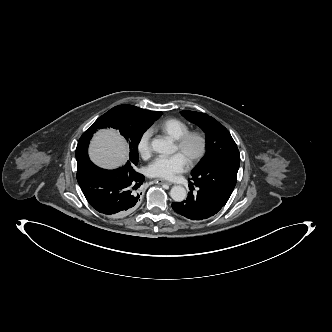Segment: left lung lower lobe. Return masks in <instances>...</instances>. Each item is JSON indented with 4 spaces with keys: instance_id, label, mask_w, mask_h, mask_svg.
Returning a JSON list of instances; mask_svg holds the SVG:
<instances>
[{
    "instance_id": "left-lung-lower-lobe-1",
    "label": "left lung lower lobe",
    "mask_w": 332,
    "mask_h": 332,
    "mask_svg": "<svg viewBox=\"0 0 332 332\" xmlns=\"http://www.w3.org/2000/svg\"><path fill=\"white\" fill-rule=\"evenodd\" d=\"M193 188V185H191ZM196 193H188L186 200L172 203L173 210L195 221L206 220L215 215L227 201L213 192L202 187L197 188Z\"/></svg>"
}]
</instances>
